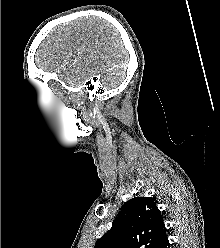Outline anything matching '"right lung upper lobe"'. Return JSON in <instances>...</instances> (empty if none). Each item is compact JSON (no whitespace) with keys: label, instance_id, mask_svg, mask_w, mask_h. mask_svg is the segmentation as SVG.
I'll list each match as a JSON object with an SVG mask.
<instances>
[{"label":"right lung upper lobe","instance_id":"cb5924a9","mask_svg":"<svg viewBox=\"0 0 220 248\" xmlns=\"http://www.w3.org/2000/svg\"><path fill=\"white\" fill-rule=\"evenodd\" d=\"M166 238L161 211L151 197L127 201L94 248H158Z\"/></svg>","mask_w":220,"mask_h":248}]
</instances>
